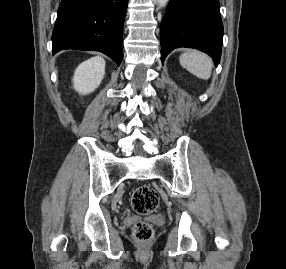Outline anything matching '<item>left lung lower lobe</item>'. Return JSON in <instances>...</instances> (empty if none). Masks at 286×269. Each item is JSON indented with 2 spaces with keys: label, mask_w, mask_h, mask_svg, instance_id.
I'll use <instances>...</instances> for the list:
<instances>
[{
  "label": "left lung lower lobe",
  "mask_w": 286,
  "mask_h": 269,
  "mask_svg": "<svg viewBox=\"0 0 286 269\" xmlns=\"http://www.w3.org/2000/svg\"><path fill=\"white\" fill-rule=\"evenodd\" d=\"M223 39L218 0H170L161 22V60L178 47L209 54L220 61Z\"/></svg>",
  "instance_id": "left-lung-lower-lobe-1"
}]
</instances>
